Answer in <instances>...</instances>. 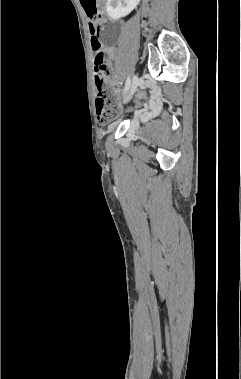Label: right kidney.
Instances as JSON below:
<instances>
[{"label": "right kidney", "mask_w": 241, "mask_h": 379, "mask_svg": "<svg viewBox=\"0 0 241 379\" xmlns=\"http://www.w3.org/2000/svg\"><path fill=\"white\" fill-rule=\"evenodd\" d=\"M139 2L140 0H107L106 11L110 19L118 20L131 13Z\"/></svg>", "instance_id": "1"}]
</instances>
